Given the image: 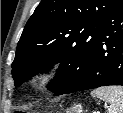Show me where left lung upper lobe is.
<instances>
[{"label":"left lung upper lobe","mask_w":123,"mask_h":113,"mask_svg":"<svg viewBox=\"0 0 123 113\" xmlns=\"http://www.w3.org/2000/svg\"><path fill=\"white\" fill-rule=\"evenodd\" d=\"M115 0H42L28 20L12 63L15 86L62 62L48 89L55 96L85 77L100 24Z\"/></svg>","instance_id":"left-lung-upper-lobe-1"}]
</instances>
